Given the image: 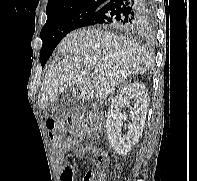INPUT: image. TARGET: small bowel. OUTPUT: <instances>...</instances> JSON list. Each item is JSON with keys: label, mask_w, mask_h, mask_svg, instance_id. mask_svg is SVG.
Returning <instances> with one entry per match:
<instances>
[{"label": "small bowel", "mask_w": 197, "mask_h": 181, "mask_svg": "<svg viewBox=\"0 0 197 181\" xmlns=\"http://www.w3.org/2000/svg\"><path fill=\"white\" fill-rule=\"evenodd\" d=\"M75 148L78 154H82L87 148L82 145L77 139L68 138L65 140L61 147L56 149V159L60 162V173H61V181H75L74 171L71 165H64L63 160L65 155L71 150V148Z\"/></svg>", "instance_id": "1"}]
</instances>
